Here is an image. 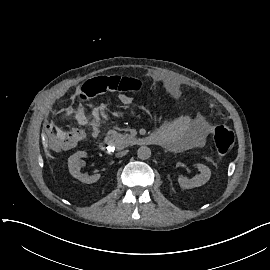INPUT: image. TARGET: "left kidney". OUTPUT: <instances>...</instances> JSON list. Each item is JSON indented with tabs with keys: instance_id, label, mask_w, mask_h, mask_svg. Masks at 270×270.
<instances>
[{
	"instance_id": "obj_1",
	"label": "left kidney",
	"mask_w": 270,
	"mask_h": 270,
	"mask_svg": "<svg viewBox=\"0 0 270 270\" xmlns=\"http://www.w3.org/2000/svg\"><path fill=\"white\" fill-rule=\"evenodd\" d=\"M200 174L191 179L179 178L178 183L182 189H193L204 185L211 177L210 169L204 164H198Z\"/></svg>"
}]
</instances>
